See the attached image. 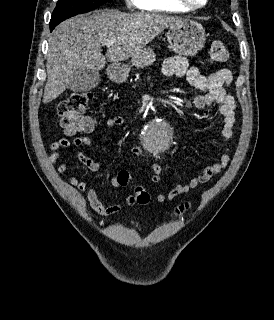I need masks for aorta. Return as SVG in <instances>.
Segmentation results:
<instances>
[{
  "label": "aorta",
  "instance_id": "762f6f07",
  "mask_svg": "<svg viewBox=\"0 0 274 320\" xmlns=\"http://www.w3.org/2000/svg\"><path fill=\"white\" fill-rule=\"evenodd\" d=\"M144 138L147 151L154 156L166 151L173 142L171 129L162 121H156L150 125L145 131Z\"/></svg>",
  "mask_w": 274,
  "mask_h": 320
}]
</instances>
